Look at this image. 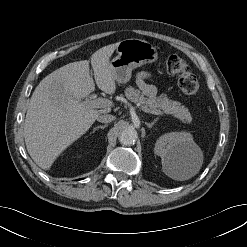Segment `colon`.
I'll list each match as a JSON object with an SVG mask.
<instances>
[{"label": "colon", "mask_w": 247, "mask_h": 247, "mask_svg": "<svg viewBox=\"0 0 247 247\" xmlns=\"http://www.w3.org/2000/svg\"><path fill=\"white\" fill-rule=\"evenodd\" d=\"M166 69L169 74L178 78V85L183 93L193 95L198 92V80L181 57L170 55L166 60Z\"/></svg>", "instance_id": "obj_1"}]
</instances>
